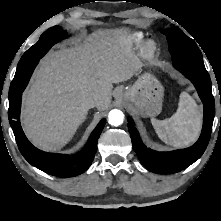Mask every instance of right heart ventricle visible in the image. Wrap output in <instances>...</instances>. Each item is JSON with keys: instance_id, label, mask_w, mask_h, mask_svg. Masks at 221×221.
I'll return each instance as SVG.
<instances>
[{"instance_id": "e07e8e85", "label": "right heart ventricle", "mask_w": 221, "mask_h": 221, "mask_svg": "<svg viewBox=\"0 0 221 221\" xmlns=\"http://www.w3.org/2000/svg\"><path fill=\"white\" fill-rule=\"evenodd\" d=\"M140 38H141V35L138 34V33L135 34L134 37H133V39H134L135 41H138Z\"/></svg>"}]
</instances>
